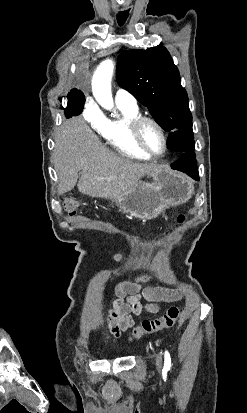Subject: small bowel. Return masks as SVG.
Here are the masks:
<instances>
[{"label": "small bowel", "instance_id": "1", "mask_svg": "<svg viewBox=\"0 0 247 413\" xmlns=\"http://www.w3.org/2000/svg\"><path fill=\"white\" fill-rule=\"evenodd\" d=\"M138 282H119L114 287L116 300L106 313V324L114 339L135 325V315L156 313L160 310L159 302H178L183 298L176 289L155 287L138 289ZM142 300L149 303L142 304Z\"/></svg>", "mask_w": 247, "mask_h": 413}]
</instances>
